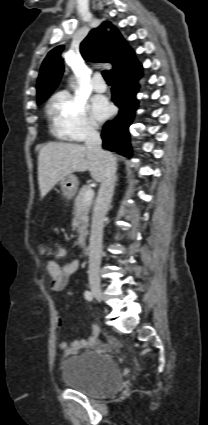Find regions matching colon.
Here are the masks:
<instances>
[{
  "instance_id": "1",
  "label": "colon",
  "mask_w": 208,
  "mask_h": 425,
  "mask_svg": "<svg viewBox=\"0 0 208 425\" xmlns=\"http://www.w3.org/2000/svg\"><path fill=\"white\" fill-rule=\"evenodd\" d=\"M39 252L43 256H50L54 253L53 249L46 244L39 245Z\"/></svg>"
}]
</instances>
